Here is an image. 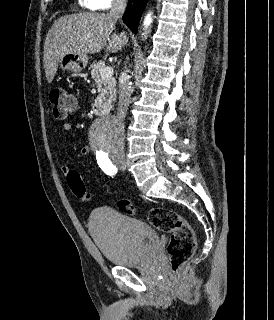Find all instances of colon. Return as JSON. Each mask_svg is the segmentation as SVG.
<instances>
[{"mask_svg":"<svg viewBox=\"0 0 274 320\" xmlns=\"http://www.w3.org/2000/svg\"><path fill=\"white\" fill-rule=\"evenodd\" d=\"M48 98L52 106V114L56 119L63 120L75 107L74 98L61 87L50 89ZM82 179L77 170L72 169L67 173L71 191L77 197L88 200L90 196ZM117 206L121 212L128 215H134L136 212L132 202L127 199L119 200ZM148 219L159 232L170 234L169 263L173 271H179L196 249V238L192 226L174 210L161 205L148 212Z\"/></svg>","mask_w":274,"mask_h":320,"instance_id":"obj_1","label":"colon"}]
</instances>
